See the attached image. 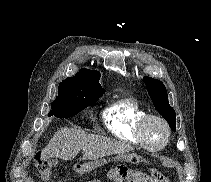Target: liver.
I'll return each mask as SVG.
<instances>
[{"label": "liver", "instance_id": "obj_1", "mask_svg": "<svg viewBox=\"0 0 211 182\" xmlns=\"http://www.w3.org/2000/svg\"><path fill=\"white\" fill-rule=\"evenodd\" d=\"M132 150L133 147L126 143L100 135L88 134L80 129L63 127L54 133L44 148L43 155L72 160L82 151L84 160H97Z\"/></svg>", "mask_w": 211, "mask_h": 182}]
</instances>
